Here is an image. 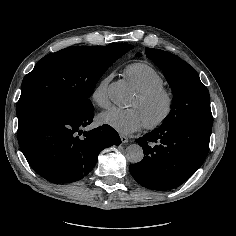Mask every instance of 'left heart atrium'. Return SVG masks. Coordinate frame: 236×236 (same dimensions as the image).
Returning a JSON list of instances; mask_svg holds the SVG:
<instances>
[{"instance_id": "left-heart-atrium-1", "label": "left heart atrium", "mask_w": 236, "mask_h": 236, "mask_svg": "<svg viewBox=\"0 0 236 236\" xmlns=\"http://www.w3.org/2000/svg\"><path fill=\"white\" fill-rule=\"evenodd\" d=\"M99 119L102 123L124 135L136 132L145 126L143 116L136 107L129 109L111 107L103 112Z\"/></svg>"}]
</instances>
